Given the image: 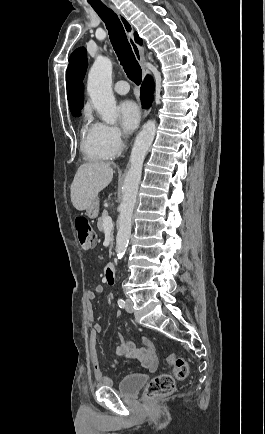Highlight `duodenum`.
<instances>
[{"instance_id": "1", "label": "duodenum", "mask_w": 265, "mask_h": 434, "mask_svg": "<svg viewBox=\"0 0 265 434\" xmlns=\"http://www.w3.org/2000/svg\"><path fill=\"white\" fill-rule=\"evenodd\" d=\"M104 278L106 283L108 284H114L115 283V265L114 264H107L105 268Z\"/></svg>"}]
</instances>
